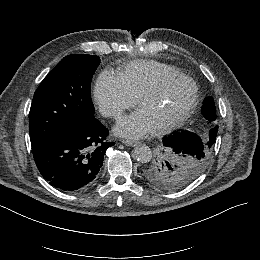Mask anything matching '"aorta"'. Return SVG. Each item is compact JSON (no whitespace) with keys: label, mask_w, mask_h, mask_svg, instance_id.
Here are the masks:
<instances>
[{"label":"aorta","mask_w":260,"mask_h":260,"mask_svg":"<svg viewBox=\"0 0 260 260\" xmlns=\"http://www.w3.org/2000/svg\"><path fill=\"white\" fill-rule=\"evenodd\" d=\"M133 157L140 163H147L152 157L151 149L147 145H140L134 148Z\"/></svg>","instance_id":"aorta-1"}]
</instances>
